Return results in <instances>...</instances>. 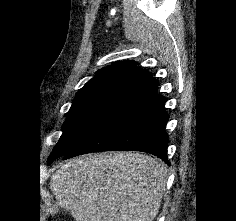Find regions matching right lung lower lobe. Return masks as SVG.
<instances>
[{
	"mask_svg": "<svg viewBox=\"0 0 236 221\" xmlns=\"http://www.w3.org/2000/svg\"><path fill=\"white\" fill-rule=\"evenodd\" d=\"M157 88L158 82L135 94L63 159L89 152L132 150L151 153L168 163L165 126L169 116Z\"/></svg>",
	"mask_w": 236,
	"mask_h": 221,
	"instance_id": "98d812e1",
	"label": "right lung lower lobe"
}]
</instances>
